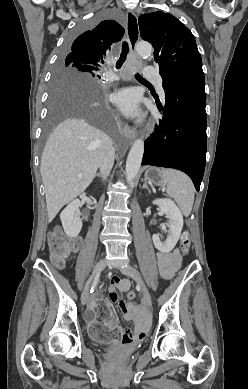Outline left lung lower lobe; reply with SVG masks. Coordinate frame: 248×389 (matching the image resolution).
Listing matches in <instances>:
<instances>
[{"instance_id":"0a47b994","label":"left lung lower lobe","mask_w":248,"mask_h":389,"mask_svg":"<svg viewBox=\"0 0 248 389\" xmlns=\"http://www.w3.org/2000/svg\"><path fill=\"white\" fill-rule=\"evenodd\" d=\"M164 90L165 107L157 105L163 118L145 141L142 164L181 170L199 191L207 150L204 76L178 79Z\"/></svg>"}]
</instances>
